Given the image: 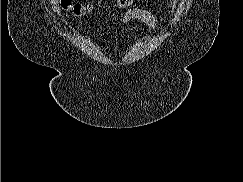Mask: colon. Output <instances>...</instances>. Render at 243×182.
<instances>
[{
  "label": "colon",
  "mask_w": 243,
  "mask_h": 182,
  "mask_svg": "<svg viewBox=\"0 0 243 182\" xmlns=\"http://www.w3.org/2000/svg\"><path fill=\"white\" fill-rule=\"evenodd\" d=\"M133 0H117L118 7L129 6ZM60 5L64 10L70 11L74 16H84L88 14L92 6L87 3H73L72 0H60Z\"/></svg>",
  "instance_id": "5ec220e1"
}]
</instances>
